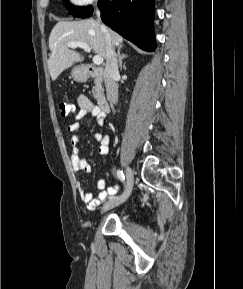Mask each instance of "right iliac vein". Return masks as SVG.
Wrapping results in <instances>:
<instances>
[{"label":"right iliac vein","mask_w":243,"mask_h":289,"mask_svg":"<svg viewBox=\"0 0 243 289\" xmlns=\"http://www.w3.org/2000/svg\"><path fill=\"white\" fill-rule=\"evenodd\" d=\"M126 178L127 184L124 193L118 197L111 198L109 201H107L102 208V212H106L116 206H119L120 204L124 203L129 197L134 184V173L130 167H127L126 169Z\"/></svg>","instance_id":"1"}]
</instances>
